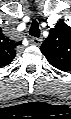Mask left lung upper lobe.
<instances>
[{"label": "left lung upper lobe", "mask_w": 71, "mask_h": 119, "mask_svg": "<svg viewBox=\"0 0 71 119\" xmlns=\"http://www.w3.org/2000/svg\"><path fill=\"white\" fill-rule=\"evenodd\" d=\"M48 62L61 71H71V27L59 20L40 47Z\"/></svg>", "instance_id": "1"}]
</instances>
